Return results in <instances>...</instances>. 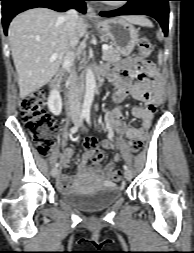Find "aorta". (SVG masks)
Returning a JSON list of instances; mask_svg holds the SVG:
<instances>
[{
  "label": "aorta",
  "mask_w": 194,
  "mask_h": 253,
  "mask_svg": "<svg viewBox=\"0 0 194 253\" xmlns=\"http://www.w3.org/2000/svg\"><path fill=\"white\" fill-rule=\"evenodd\" d=\"M96 89V81L93 71L86 69V89L83 102V113H89Z\"/></svg>",
  "instance_id": "obj_1"
}]
</instances>
